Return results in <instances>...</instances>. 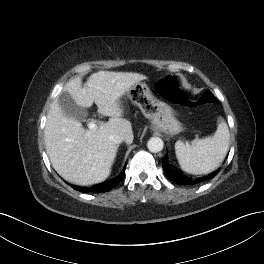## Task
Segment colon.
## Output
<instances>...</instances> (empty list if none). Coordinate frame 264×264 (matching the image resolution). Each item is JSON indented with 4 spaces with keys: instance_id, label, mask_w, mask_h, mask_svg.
I'll list each match as a JSON object with an SVG mask.
<instances>
[{
    "instance_id": "1",
    "label": "colon",
    "mask_w": 264,
    "mask_h": 264,
    "mask_svg": "<svg viewBox=\"0 0 264 264\" xmlns=\"http://www.w3.org/2000/svg\"><path fill=\"white\" fill-rule=\"evenodd\" d=\"M158 90L166 99L187 107L207 105L214 100V95L210 91H205L196 99L190 98L181 88L179 80L173 75L163 77L159 81Z\"/></svg>"
}]
</instances>
